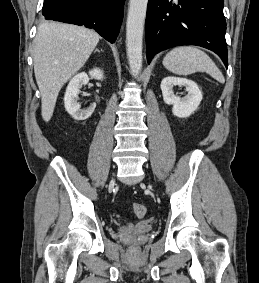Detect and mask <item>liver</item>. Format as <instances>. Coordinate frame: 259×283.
<instances>
[{"instance_id":"obj_1","label":"liver","mask_w":259,"mask_h":283,"mask_svg":"<svg viewBox=\"0 0 259 283\" xmlns=\"http://www.w3.org/2000/svg\"><path fill=\"white\" fill-rule=\"evenodd\" d=\"M100 36L85 27L46 21L34 41V73L41 93V113L48 122L59 91L86 63Z\"/></svg>"}]
</instances>
